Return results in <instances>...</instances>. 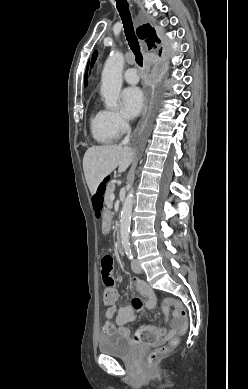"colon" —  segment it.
<instances>
[{"label": "colon", "mask_w": 248, "mask_h": 389, "mask_svg": "<svg viewBox=\"0 0 248 389\" xmlns=\"http://www.w3.org/2000/svg\"><path fill=\"white\" fill-rule=\"evenodd\" d=\"M96 190L98 192L92 195L91 204L94 207L95 211H100L101 206H103L105 200V195L101 194L100 192H103L105 190V187L103 185H98L96 187ZM95 216L99 217L100 213L96 212ZM101 266H102V277H103L104 284L108 287L115 286L116 280L112 279L111 277V273L115 272V269L113 268L114 267L113 257L109 255L104 256L101 259ZM116 299H117V295L112 291H107L103 293V301L106 305L115 302ZM171 306L174 308V313L177 318V323L175 326L176 333L169 339L166 345L156 348L148 353L147 366L150 369H153L156 366L158 360H160L171 349L175 348L178 345L179 336L184 334L188 329L187 313L183 304L178 299L173 297L166 298L162 301V307L168 308ZM166 335L167 332L165 330H153L151 333H149L148 338L149 340H158L159 337H165ZM141 338L143 339L144 343L148 342V339L146 338L145 334H142Z\"/></svg>", "instance_id": "5ec220e1"}]
</instances>
